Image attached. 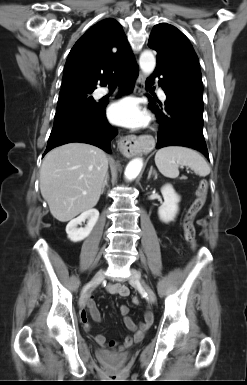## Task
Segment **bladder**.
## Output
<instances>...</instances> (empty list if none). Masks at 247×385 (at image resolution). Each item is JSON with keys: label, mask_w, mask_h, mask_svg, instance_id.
Returning <instances> with one entry per match:
<instances>
[{"label": "bladder", "mask_w": 247, "mask_h": 385, "mask_svg": "<svg viewBox=\"0 0 247 385\" xmlns=\"http://www.w3.org/2000/svg\"><path fill=\"white\" fill-rule=\"evenodd\" d=\"M98 353H99V354L102 356V358H104V359L115 360V361H118V362L125 361V360H127L128 357H129V354H128V353H124V354L118 355V356H116V357L111 356L110 354H108L107 352H104V351H98Z\"/></svg>", "instance_id": "bladder-1"}]
</instances>
